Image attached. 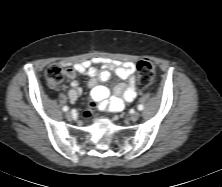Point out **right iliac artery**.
<instances>
[{
    "instance_id": "82829eb1",
    "label": "right iliac artery",
    "mask_w": 222,
    "mask_h": 187,
    "mask_svg": "<svg viewBox=\"0 0 222 187\" xmlns=\"http://www.w3.org/2000/svg\"><path fill=\"white\" fill-rule=\"evenodd\" d=\"M68 109H69L68 106H64L62 110H63L64 112H66V111H68Z\"/></svg>"
}]
</instances>
